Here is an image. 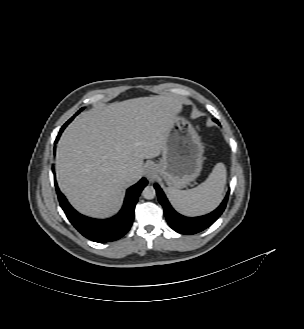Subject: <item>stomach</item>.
<instances>
[{"label": "stomach", "mask_w": 304, "mask_h": 329, "mask_svg": "<svg viewBox=\"0 0 304 329\" xmlns=\"http://www.w3.org/2000/svg\"><path fill=\"white\" fill-rule=\"evenodd\" d=\"M203 145L192 124L175 116L169 128L162 158L155 169L169 187L180 189L195 180L203 165Z\"/></svg>", "instance_id": "0dacf381"}]
</instances>
